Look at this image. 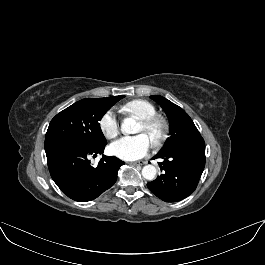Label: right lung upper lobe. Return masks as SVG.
Returning <instances> with one entry per match:
<instances>
[{"label":"right lung upper lobe","mask_w":265,"mask_h":265,"mask_svg":"<svg viewBox=\"0 0 265 265\" xmlns=\"http://www.w3.org/2000/svg\"><path fill=\"white\" fill-rule=\"evenodd\" d=\"M123 98V96H114V97H108V99H110V100H113V101H119L120 99H122Z\"/></svg>","instance_id":"1"}]
</instances>
